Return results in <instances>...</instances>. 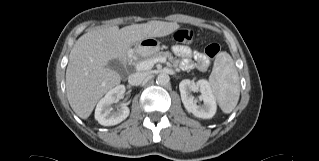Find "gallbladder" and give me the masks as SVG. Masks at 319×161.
Instances as JSON below:
<instances>
[{"label":"gallbladder","instance_id":"1","mask_svg":"<svg viewBox=\"0 0 319 161\" xmlns=\"http://www.w3.org/2000/svg\"><path fill=\"white\" fill-rule=\"evenodd\" d=\"M107 67L114 70V71H117L119 73H122L124 70V66H123L122 62L119 61L118 59H114V60L109 61L107 64Z\"/></svg>","mask_w":319,"mask_h":161}]
</instances>
